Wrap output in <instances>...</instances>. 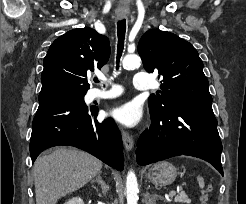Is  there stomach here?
<instances>
[{"label":"stomach","mask_w":246,"mask_h":204,"mask_svg":"<svg viewBox=\"0 0 246 204\" xmlns=\"http://www.w3.org/2000/svg\"><path fill=\"white\" fill-rule=\"evenodd\" d=\"M176 177V167L167 161L152 165L146 173V178L156 186L170 185Z\"/></svg>","instance_id":"1"}]
</instances>
